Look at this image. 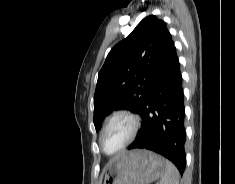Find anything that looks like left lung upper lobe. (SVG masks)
I'll return each instance as SVG.
<instances>
[{
    "label": "left lung upper lobe",
    "mask_w": 235,
    "mask_h": 184,
    "mask_svg": "<svg viewBox=\"0 0 235 184\" xmlns=\"http://www.w3.org/2000/svg\"><path fill=\"white\" fill-rule=\"evenodd\" d=\"M169 31L154 15L144 18L109 52L98 75L94 95V125L117 109L140 114Z\"/></svg>",
    "instance_id": "left-lung-upper-lobe-1"
}]
</instances>
